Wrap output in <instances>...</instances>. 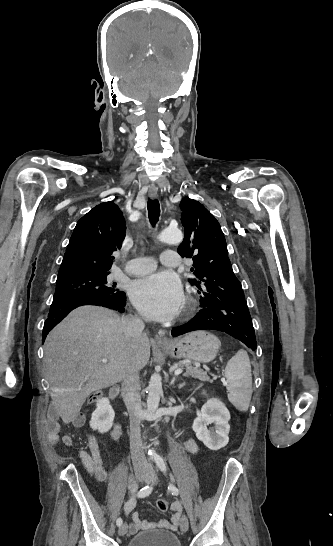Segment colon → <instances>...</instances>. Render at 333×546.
<instances>
[{"mask_svg":"<svg viewBox=\"0 0 333 546\" xmlns=\"http://www.w3.org/2000/svg\"><path fill=\"white\" fill-rule=\"evenodd\" d=\"M100 397V394L99 393H94L90 396L89 398V403H94L96 402ZM156 506L157 508L162 511V512H165L168 510L169 508V505H168V502L165 500V499H159L157 502H156Z\"/></svg>","mask_w":333,"mask_h":546,"instance_id":"obj_1","label":"colon"}]
</instances>
